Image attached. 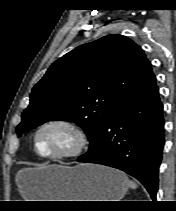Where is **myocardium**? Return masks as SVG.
Returning <instances> with one entry per match:
<instances>
[{
  "instance_id": "obj_1",
  "label": "myocardium",
  "mask_w": 176,
  "mask_h": 211,
  "mask_svg": "<svg viewBox=\"0 0 176 211\" xmlns=\"http://www.w3.org/2000/svg\"><path fill=\"white\" fill-rule=\"evenodd\" d=\"M60 127L65 129L74 140L73 147L65 152L43 154L38 150L37 139L40 133L48 128ZM33 149L36 155L42 159L47 160H62L79 156L88 147L89 138L85 130L75 122L64 119L55 118L41 123L34 131L32 138Z\"/></svg>"
}]
</instances>
